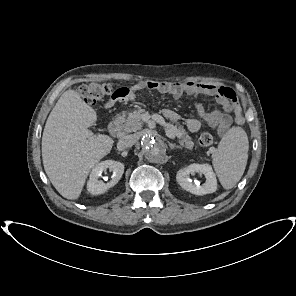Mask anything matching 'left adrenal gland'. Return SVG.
<instances>
[{
    "label": "left adrenal gland",
    "instance_id": "left-adrenal-gland-1",
    "mask_svg": "<svg viewBox=\"0 0 296 296\" xmlns=\"http://www.w3.org/2000/svg\"><path fill=\"white\" fill-rule=\"evenodd\" d=\"M169 147H170L171 150H174V149H182V146L176 145V144L171 143V142H169Z\"/></svg>",
    "mask_w": 296,
    "mask_h": 296
}]
</instances>
